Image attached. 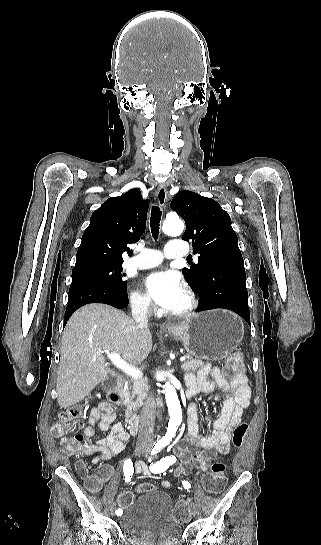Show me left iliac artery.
I'll return each instance as SVG.
<instances>
[{
  "label": "left iliac artery",
  "instance_id": "1",
  "mask_svg": "<svg viewBox=\"0 0 321 545\" xmlns=\"http://www.w3.org/2000/svg\"><path fill=\"white\" fill-rule=\"evenodd\" d=\"M160 449H162V446H156L153 448L151 454L154 455L156 454ZM149 461H151V459H149ZM176 462V457L175 456H167V457H164L162 458L160 461H157L156 463L152 464L150 466V470L153 472V473H161L163 471H165L170 465L174 464ZM182 484L184 486V488L188 489L191 487L190 483L188 481H182Z\"/></svg>",
  "mask_w": 321,
  "mask_h": 545
}]
</instances>
